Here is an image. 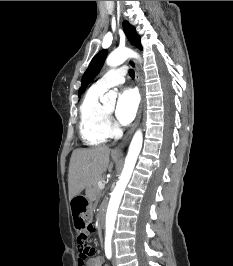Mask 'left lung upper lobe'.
Here are the masks:
<instances>
[{"mask_svg":"<svg viewBox=\"0 0 233 266\" xmlns=\"http://www.w3.org/2000/svg\"><path fill=\"white\" fill-rule=\"evenodd\" d=\"M123 29L130 43L142 50V46L140 44V37L136 33L135 28L132 25H130L127 21H124ZM106 56H107V51L102 50L97 55H95L94 58L92 59L86 72L84 73L82 77V84L79 89V97L85 91L88 84L96 77V75L101 70Z\"/></svg>","mask_w":233,"mask_h":266,"instance_id":"1","label":"left lung upper lobe"}]
</instances>
